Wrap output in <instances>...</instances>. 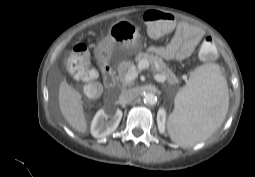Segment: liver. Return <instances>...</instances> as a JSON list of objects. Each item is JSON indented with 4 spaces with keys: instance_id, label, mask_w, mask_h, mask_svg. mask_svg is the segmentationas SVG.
I'll return each mask as SVG.
<instances>
[{
    "instance_id": "6515ba94",
    "label": "liver",
    "mask_w": 255,
    "mask_h": 177,
    "mask_svg": "<svg viewBox=\"0 0 255 177\" xmlns=\"http://www.w3.org/2000/svg\"><path fill=\"white\" fill-rule=\"evenodd\" d=\"M58 101L60 111L69 125L76 131L85 133L87 124L81 95L66 80L60 83Z\"/></svg>"
}]
</instances>
